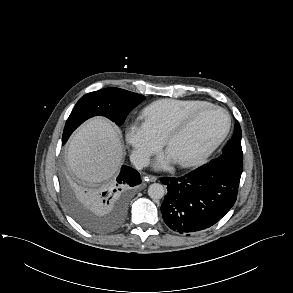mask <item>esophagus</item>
Returning a JSON list of instances; mask_svg holds the SVG:
<instances>
[{
  "label": "esophagus",
  "mask_w": 293,
  "mask_h": 293,
  "mask_svg": "<svg viewBox=\"0 0 293 293\" xmlns=\"http://www.w3.org/2000/svg\"><path fill=\"white\" fill-rule=\"evenodd\" d=\"M144 180L151 181V182H155L157 180V177L156 176H153V175H148V176H145L144 177Z\"/></svg>",
  "instance_id": "34e87169"
}]
</instances>
